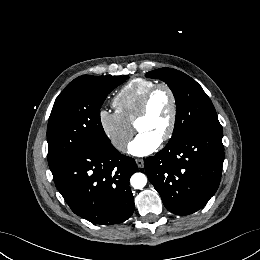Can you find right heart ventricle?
Instances as JSON below:
<instances>
[{"label": "right heart ventricle", "mask_w": 260, "mask_h": 260, "mask_svg": "<svg viewBox=\"0 0 260 260\" xmlns=\"http://www.w3.org/2000/svg\"><path fill=\"white\" fill-rule=\"evenodd\" d=\"M157 83L150 79L135 78L124 85L113 98L116 111L130 124L134 123L146 92Z\"/></svg>", "instance_id": "obj_1"}]
</instances>
